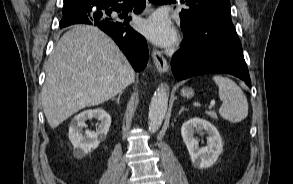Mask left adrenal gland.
<instances>
[{
	"label": "left adrenal gland",
	"instance_id": "1",
	"mask_svg": "<svg viewBox=\"0 0 293 184\" xmlns=\"http://www.w3.org/2000/svg\"><path fill=\"white\" fill-rule=\"evenodd\" d=\"M187 110L185 107H181L180 111H179V115L184 111Z\"/></svg>",
	"mask_w": 293,
	"mask_h": 184
}]
</instances>
